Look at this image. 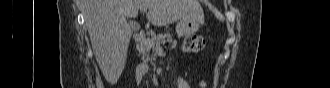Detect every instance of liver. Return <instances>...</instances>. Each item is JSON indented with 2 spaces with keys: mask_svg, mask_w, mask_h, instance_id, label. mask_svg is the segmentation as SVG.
Wrapping results in <instances>:
<instances>
[{
  "mask_svg": "<svg viewBox=\"0 0 330 88\" xmlns=\"http://www.w3.org/2000/svg\"><path fill=\"white\" fill-rule=\"evenodd\" d=\"M85 23L96 61L109 83H116L125 67L132 29L126 17L146 9L147 19L165 26L186 17H202L197 0H84Z\"/></svg>",
  "mask_w": 330,
  "mask_h": 88,
  "instance_id": "obj_1",
  "label": "liver"
}]
</instances>
